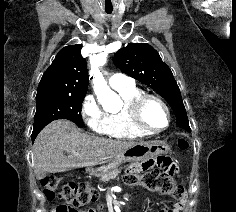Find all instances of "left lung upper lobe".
I'll use <instances>...</instances> for the list:
<instances>
[{
    "instance_id": "5c2ea615",
    "label": "left lung upper lobe",
    "mask_w": 236,
    "mask_h": 212,
    "mask_svg": "<svg viewBox=\"0 0 236 212\" xmlns=\"http://www.w3.org/2000/svg\"><path fill=\"white\" fill-rule=\"evenodd\" d=\"M113 62L123 73L148 85L165 98L173 109L177 125L190 130L181 93L172 71L151 45L131 43L115 54Z\"/></svg>"
}]
</instances>
